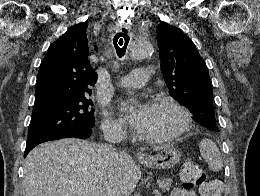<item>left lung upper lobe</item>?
<instances>
[{"label":"left lung upper lobe","mask_w":260,"mask_h":196,"mask_svg":"<svg viewBox=\"0 0 260 196\" xmlns=\"http://www.w3.org/2000/svg\"><path fill=\"white\" fill-rule=\"evenodd\" d=\"M156 31L161 71L170 96L191 112L213 107L208 69L192 40L166 22H161ZM204 127L219 132L216 122Z\"/></svg>","instance_id":"left-lung-upper-lobe-1"}]
</instances>
